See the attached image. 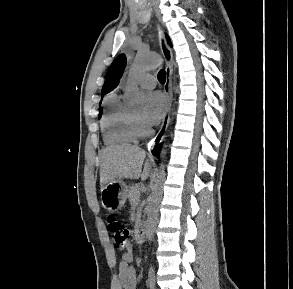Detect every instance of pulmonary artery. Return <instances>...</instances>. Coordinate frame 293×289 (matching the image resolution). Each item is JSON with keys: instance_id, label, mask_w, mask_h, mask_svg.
I'll return each mask as SVG.
<instances>
[{"instance_id": "1", "label": "pulmonary artery", "mask_w": 293, "mask_h": 289, "mask_svg": "<svg viewBox=\"0 0 293 289\" xmlns=\"http://www.w3.org/2000/svg\"><path fill=\"white\" fill-rule=\"evenodd\" d=\"M139 84L148 89H152L156 85V78L152 74H144L139 78Z\"/></svg>"}]
</instances>
